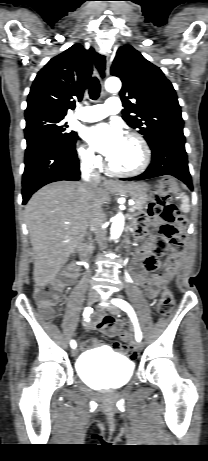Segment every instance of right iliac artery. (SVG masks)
I'll return each mask as SVG.
<instances>
[{"label": "right iliac artery", "instance_id": "1", "mask_svg": "<svg viewBox=\"0 0 208 461\" xmlns=\"http://www.w3.org/2000/svg\"><path fill=\"white\" fill-rule=\"evenodd\" d=\"M91 312H92L91 307L85 308V311L83 313L84 318H88ZM70 345H71L72 348H75L76 347V342L74 340H72Z\"/></svg>", "mask_w": 208, "mask_h": 461}]
</instances>
